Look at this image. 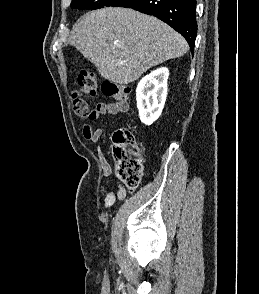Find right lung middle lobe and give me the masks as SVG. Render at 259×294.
<instances>
[{"mask_svg":"<svg viewBox=\"0 0 259 294\" xmlns=\"http://www.w3.org/2000/svg\"><path fill=\"white\" fill-rule=\"evenodd\" d=\"M127 1L129 0H72L71 8L96 10L108 6L120 7Z\"/></svg>","mask_w":259,"mask_h":294,"instance_id":"dd1d6c3e","label":"right lung middle lobe"}]
</instances>
